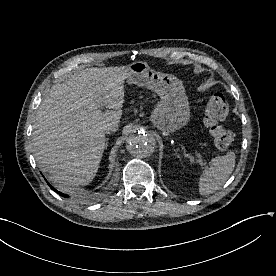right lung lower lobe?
<instances>
[{
  "label": "right lung lower lobe",
  "instance_id": "right-lung-lower-lobe-1",
  "mask_svg": "<svg viewBox=\"0 0 276 276\" xmlns=\"http://www.w3.org/2000/svg\"><path fill=\"white\" fill-rule=\"evenodd\" d=\"M48 185L50 186V188H51L52 190H54V191H55L56 193H58L59 195H61V196H63V197H68V195L63 194V193L57 191L56 189H54L49 183H48Z\"/></svg>",
  "mask_w": 276,
  "mask_h": 276
}]
</instances>
